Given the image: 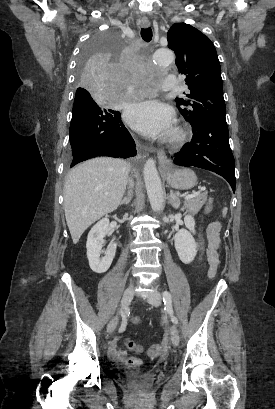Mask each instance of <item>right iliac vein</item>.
<instances>
[{"instance_id":"right-iliac-vein-1","label":"right iliac vein","mask_w":275,"mask_h":409,"mask_svg":"<svg viewBox=\"0 0 275 409\" xmlns=\"http://www.w3.org/2000/svg\"><path fill=\"white\" fill-rule=\"evenodd\" d=\"M133 296H134V286H133V284H131V285L124 291L123 296H122L121 307H122L123 309L127 308V306L129 305L130 301L133 299ZM121 311H122V310H121ZM119 316H120V312L108 323L107 332H108L109 334H111V333L114 332V330H115V328H116V326H117L118 320H119Z\"/></svg>"}]
</instances>
